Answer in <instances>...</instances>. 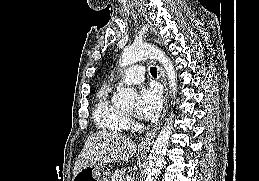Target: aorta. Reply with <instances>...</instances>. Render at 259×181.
I'll return each mask as SVG.
<instances>
[{"label": "aorta", "instance_id": "1", "mask_svg": "<svg viewBox=\"0 0 259 181\" xmlns=\"http://www.w3.org/2000/svg\"><path fill=\"white\" fill-rule=\"evenodd\" d=\"M147 58H155L163 65L168 78L171 93L175 98V94L177 92L176 71L172 62L165 55V53L156 48L154 45L141 43L133 44L124 48L121 55L120 66L126 67ZM134 99L135 97L133 90L124 88L120 85L117 87V91L113 95L112 103L117 107H132L134 105ZM171 117L160 130L152 146L145 181H157L160 175L164 157L169 146L170 136L173 130V122Z\"/></svg>", "mask_w": 259, "mask_h": 181}]
</instances>
